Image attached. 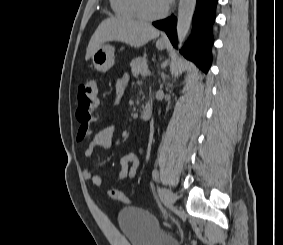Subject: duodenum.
I'll return each mask as SVG.
<instances>
[{
	"label": "duodenum",
	"instance_id": "duodenum-1",
	"mask_svg": "<svg viewBox=\"0 0 283 245\" xmlns=\"http://www.w3.org/2000/svg\"><path fill=\"white\" fill-rule=\"evenodd\" d=\"M153 109L150 102H147L141 110V118L145 121L150 120L152 117Z\"/></svg>",
	"mask_w": 283,
	"mask_h": 245
}]
</instances>
